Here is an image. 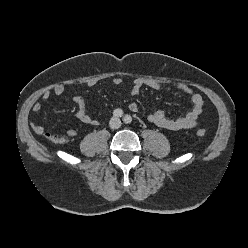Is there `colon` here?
Masks as SVG:
<instances>
[{
    "instance_id": "colon-1",
    "label": "colon",
    "mask_w": 248,
    "mask_h": 248,
    "mask_svg": "<svg viewBox=\"0 0 248 248\" xmlns=\"http://www.w3.org/2000/svg\"><path fill=\"white\" fill-rule=\"evenodd\" d=\"M196 135L198 137H204L206 135V131L204 129H198L196 131ZM50 140H52L55 143H63L65 141V138L59 135H53L50 136Z\"/></svg>"
}]
</instances>
